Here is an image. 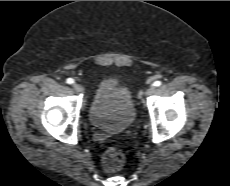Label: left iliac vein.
Wrapping results in <instances>:
<instances>
[{
    "label": "left iliac vein",
    "instance_id": "1",
    "mask_svg": "<svg viewBox=\"0 0 230 186\" xmlns=\"http://www.w3.org/2000/svg\"><path fill=\"white\" fill-rule=\"evenodd\" d=\"M153 91H154V87H149V88L146 90L145 94H146V95H150V94L153 93Z\"/></svg>",
    "mask_w": 230,
    "mask_h": 186
}]
</instances>
